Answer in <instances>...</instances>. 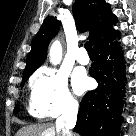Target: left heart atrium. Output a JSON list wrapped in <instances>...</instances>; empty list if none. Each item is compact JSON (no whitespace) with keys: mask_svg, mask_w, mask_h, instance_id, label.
<instances>
[{"mask_svg":"<svg viewBox=\"0 0 136 136\" xmlns=\"http://www.w3.org/2000/svg\"><path fill=\"white\" fill-rule=\"evenodd\" d=\"M74 89L77 93H82L89 88V78L83 73H76L73 77Z\"/></svg>","mask_w":136,"mask_h":136,"instance_id":"left-heart-atrium-1","label":"left heart atrium"}]
</instances>
